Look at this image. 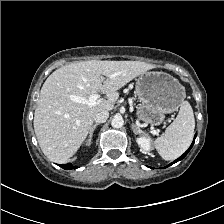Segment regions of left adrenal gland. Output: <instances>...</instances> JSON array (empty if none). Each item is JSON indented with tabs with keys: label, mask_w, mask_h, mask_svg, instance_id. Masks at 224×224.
I'll list each match as a JSON object with an SVG mask.
<instances>
[{
	"label": "left adrenal gland",
	"mask_w": 224,
	"mask_h": 224,
	"mask_svg": "<svg viewBox=\"0 0 224 224\" xmlns=\"http://www.w3.org/2000/svg\"><path fill=\"white\" fill-rule=\"evenodd\" d=\"M131 128H132V130H133V132L135 134H142V133H144L135 123L131 124Z\"/></svg>",
	"instance_id": "a2214340"
}]
</instances>
